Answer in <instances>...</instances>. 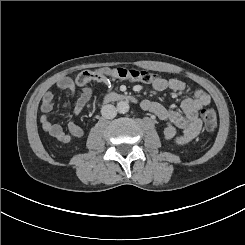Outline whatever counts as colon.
<instances>
[{"mask_svg":"<svg viewBox=\"0 0 245 245\" xmlns=\"http://www.w3.org/2000/svg\"><path fill=\"white\" fill-rule=\"evenodd\" d=\"M109 77L128 79L145 84H152L156 79V75L151 72L132 68H114L110 69L108 73ZM101 75L98 72L87 73L83 72L77 75V83L79 85H85L91 80L100 78ZM204 128L207 131H213L217 126V116L213 108H207L202 111L201 114Z\"/></svg>","mask_w":245,"mask_h":245,"instance_id":"5ec220e1","label":"colon"}]
</instances>
